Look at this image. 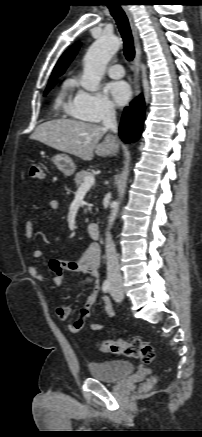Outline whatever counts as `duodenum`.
Segmentation results:
<instances>
[{"instance_id":"1","label":"duodenum","mask_w":202,"mask_h":437,"mask_svg":"<svg viewBox=\"0 0 202 437\" xmlns=\"http://www.w3.org/2000/svg\"><path fill=\"white\" fill-rule=\"evenodd\" d=\"M87 233L92 239L99 237V225L97 223H90L87 226Z\"/></svg>"}]
</instances>
